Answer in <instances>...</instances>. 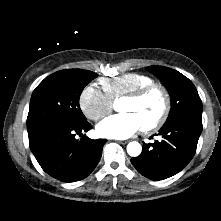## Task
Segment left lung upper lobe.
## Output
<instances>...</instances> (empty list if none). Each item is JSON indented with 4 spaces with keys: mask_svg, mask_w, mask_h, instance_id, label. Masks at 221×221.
<instances>
[{
    "mask_svg": "<svg viewBox=\"0 0 221 221\" xmlns=\"http://www.w3.org/2000/svg\"><path fill=\"white\" fill-rule=\"evenodd\" d=\"M165 85L171 96V110L166 123L181 115L202 116V102L193 83L180 72L163 67L149 66Z\"/></svg>",
    "mask_w": 221,
    "mask_h": 221,
    "instance_id": "left-lung-upper-lobe-1",
    "label": "left lung upper lobe"
}]
</instances>
